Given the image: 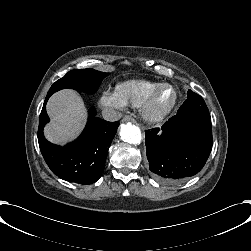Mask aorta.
<instances>
[{
  "label": "aorta",
  "mask_w": 251,
  "mask_h": 251,
  "mask_svg": "<svg viewBox=\"0 0 251 251\" xmlns=\"http://www.w3.org/2000/svg\"><path fill=\"white\" fill-rule=\"evenodd\" d=\"M120 136L124 142L129 144L141 143V131L139 127L132 125L131 123L121 125Z\"/></svg>",
  "instance_id": "762f6f07"
}]
</instances>
